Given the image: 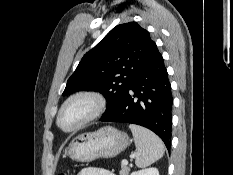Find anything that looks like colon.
<instances>
[{"label": "colon", "instance_id": "obj_1", "mask_svg": "<svg viewBox=\"0 0 233 175\" xmlns=\"http://www.w3.org/2000/svg\"><path fill=\"white\" fill-rule=\"evenodd\" d=\"M59 175H67L65 172H63V173H60Z\"/></svg>", "mask_w": 233, "mask_h": 175}]
</instances>
